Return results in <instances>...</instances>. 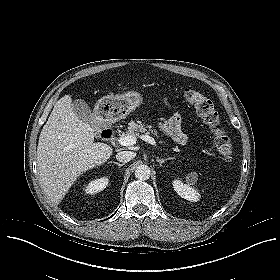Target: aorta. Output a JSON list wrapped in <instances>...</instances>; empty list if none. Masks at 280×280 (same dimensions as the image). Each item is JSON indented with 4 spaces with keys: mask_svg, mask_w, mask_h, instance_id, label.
<instances>
[{
    "mask_svg": "<svg viewBox=\"0 0 280 280\" xmlns=\"http://www.w3.org/2000/svg\"><path fill=\"white\" fill-rule=\"evenodd\" d=\"M151 174V170L149 166L141 164L135 170V177L139 180H147L149 179Z\"/></svg>",
    "mask_w": 280,
    "mask_h": 280,
    "instance_id": "1",
    "label": "aorta"
}]
</instances>
